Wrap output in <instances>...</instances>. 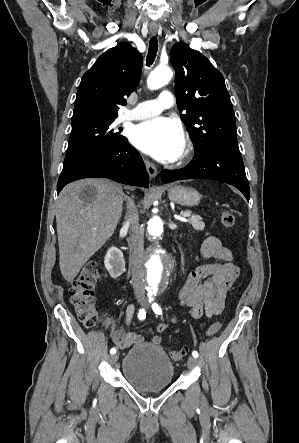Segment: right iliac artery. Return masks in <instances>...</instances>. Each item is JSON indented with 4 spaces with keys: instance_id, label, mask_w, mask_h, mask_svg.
<instances>
[{
    "instance_id": "right-iliac-artery-1",
    "label": "right iliac artery",
    "mask_w": 299,
    "mask_h": 443,
    "mask_svg": "<svg viewBox=\"0 0 299 443\" xmlns=\"http://www.w3.org/2000/svg\"><path fill=\"white\" fill-rule=\"evenodd\" d=\"M138 318H139L140 320H144V319L146 318V312H145V309H144V308H142V309L139 310V312H138ZM110 353H111V354H115V353H116V349H115V348H112V349L110 350Z\"/></svg>"
}]
</instances>
